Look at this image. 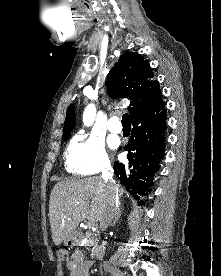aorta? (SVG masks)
<instances>
[{
  "mask_svg": "<svg viewBox=\"0 0 221 276\" xmlns=\"http://www.w3.org/2000/svg\"><path fill=\"white\" fill-rule=\"evenodd\" d=\"M96 116V109L93 104L87 106L83 114V122L86 126L93 124Z\"/></svg>",
  "mask_w": 221,
  "mask_h": 276,
  "instance_id": "762f6f07",
  "label": "aorta"
}]
</instances>
